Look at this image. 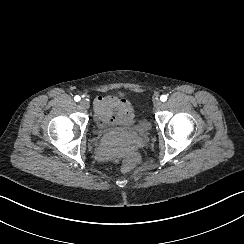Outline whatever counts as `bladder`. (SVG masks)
<instances>
[{
	"instance_id": "31cf9c89",
	"label": "bladder",
	"mask_w": 244,
	"mask_h": 244,
	"mask_svg": "<svg viewBox=\"0 0 244 244\" xmlns=\"http://www.w3.org/2000/svg\"><path fill=\"white\" fill-rule=\"evenodd\" d=\"M150 122L149 119H139L138 122L132 127L129 134H137L139 137H144L150 133Z\"/></svg>"
}]
</instances>
